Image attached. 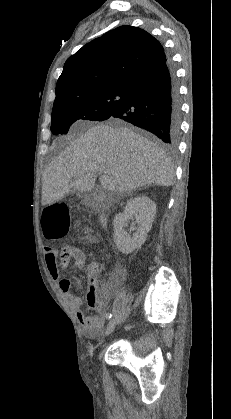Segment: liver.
<instances>
[{
	"mask_svg": "<svg viewBox=\"0 0 231 419\" xmlns=\"http://www.w3.org/2000/svg\"><path fill=\"white\" fill-rule=\"evenodd\" d=\"M97 174L104 190L117 193L170 186L174 178L171 162L158 145L127 127L98 124L72 141L46 168L42 205L59 201L72 189L91 191Z\"/></svg>",
	"mask_w": 231,
	"mask_h": 419,
	"instance_id": "6515ba94",
	"label": "liver"
}]
</instances>
